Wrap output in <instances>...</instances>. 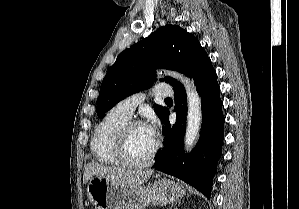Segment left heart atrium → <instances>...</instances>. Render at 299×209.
<instances>
[{
    "mask_svg": "<svg viewBox=\"0 0 299 209\" xmlns=\"http://www.w3.org/2000/svg\"><path fill=\"white\" fill-rule=\"evenodd\" d=\"M147 133L155 140L158 133V122L155 118H151L147 124L144 125Z\"/></svg>",
    "mask_w": 299,
    "mask_h": 209,
    "instance_id": "obj_1",
    "label": "left heart atrium"
}]
</instances>
